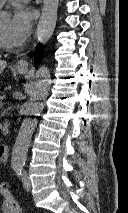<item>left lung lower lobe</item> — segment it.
Returning a JSON list of instances; mask_svg holds the SVG:
<instances>
[{"mask_svg":"<svg viewBox=\"0 0 128 213\" xmlns=\"http://www.w3.org/2000/svg\"><path fill=\"white\" fill-rule=\"evenodd\" d=\"M43 53H42V46L41 45H37L36 51L34 53L36 62L38 63L40 61V58L42 57Z\"/></svg>","mask_w":128,"mask_h":213,"instance_id":"obj_1","label":"left lung lower lobe"}]
</instances>
